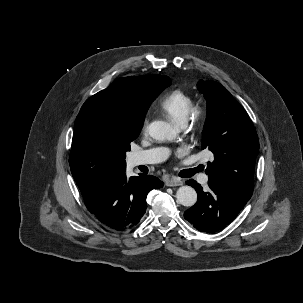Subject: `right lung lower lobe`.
Listing matches in <instances>:
<instances>
[{
  "instance_id": "right-lung-lower-lobe-1",
  "label": "right lung lower lobe",
  "mask_w": 303,
  "mask_h": 303,
  "mask_svg": "<svg viewBox=\"0 0 303 303\" xmlns=\"http://www.w3.org/2000/svg\"><path fill=\"white\" fill-rule=\"evenodd\" d=\"M163 185L152 175L127 179L124 171L94 182L81 194L88 210L100 222L113 230L124 231L141 221L149 191Z\"/></svg>"
}]
</instances>
